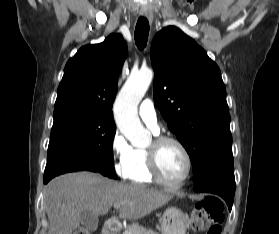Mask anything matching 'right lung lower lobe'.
I'll return each mask as SVG.
<instances>
[{"mask_svg": "<svg viewBox=\"0 0 279 234\" xmlns=\"http://www.w3.org/2000/svg\"><path fill=\"white\" fill-rule=\"evenodd\" d=\"M94 171L97 172L90 164L81 160H69L57 164L51 171L45 172L43 181L48 183L53 177L73 171Z\"/></svg>", "mask_w": 279, "mask_h": 234, "instance_id": "obj_1", "label": "right lung lower lobe"}]
</instances>
